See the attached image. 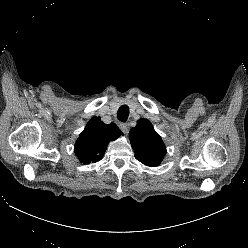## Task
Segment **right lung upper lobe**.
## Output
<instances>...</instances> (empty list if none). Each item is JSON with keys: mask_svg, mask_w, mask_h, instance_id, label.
Masks as SVG:
<instances>
[{"mask_svg": "<svg viewBox=\"0 0 248 248\" xmlns=\"http://www.w3.org/2000/svg\"><path fill=\"white\" fill-rule=\"evenodd\" d=\"M122 135L115 123L105 124L99 117H93L80 133L74 147L80 162L88 164L102 159L108 143Z\"/></svg>", "mask_w": 248, "mask_h": 248, "instance_id": "obj_1", "label": "right lung upper lobe"}]
</instances>
